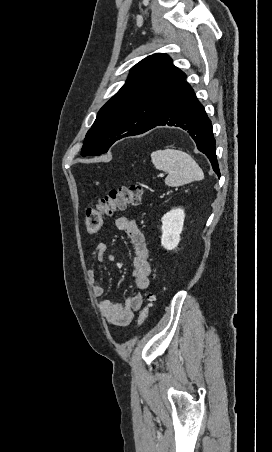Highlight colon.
Returning <instances> with one entry per match:
<instances>
[{
	"label": "colon",
	"instance_id": "5ec220e1",
	"mask_svg": "<svg viewBox=\"0 0 272 452\" xmlns=\"http://www.w3.org/2000/svg\"><path fill=\"white\" fill-rule=\"evenodd\" d=\"M144 190L139 184H131L112 190L97 204L88 208L86 212V230L90 234L97 233L105 217L113 215L116 211L124 210L128 206H138L143 202ZM155 301V294L147 295V302L142 308L138 324L142 326L150 314V308Z\"/></svg>",
	"mask_w": 272,
	"mask_h": 452
}]
</instances>
